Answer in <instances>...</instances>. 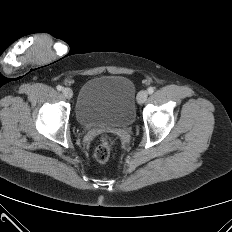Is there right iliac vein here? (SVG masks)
<instances>
[{
    "label": "right iliac vein",
    "mask_w": 232,
    "mask_h": 232,
    "mask_svg": "<svg viewBox=\"0 0 232 232\" xmlns=\"http://www.w3.org/2000/svg\"><path fill=\"white\" fill-rule=\"evenodd\" d=\"M62 93L63 95L66 97V98H71L73 96V91L70 89V88H64L62 90Z\"/></svg>",
    "instance_id": "1"
}]
</instances>
